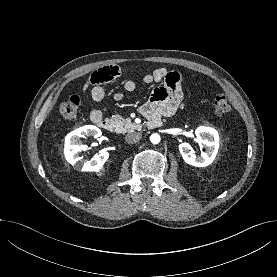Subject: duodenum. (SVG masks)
<instances>
[{
	"mask_svg": "<svg viewBox=\"0 0 277 277\" xmlns=\"http://www.w3.org/2000/svg\"><path fill=\"white\" fill-rule=\"evenodd\" d=\"M99 128L106 130V131H112L113 130V124L110 120L108 119H97L94 122ZM148 127L149 128H156L161 125V119L158 115H151L148 117Z\"/></svg>",
	"mask_w": 277,
	"mask_h": 277,
	"instance_id": "duodenum-1",
	"label": "duodenum"
}]
</instances>
